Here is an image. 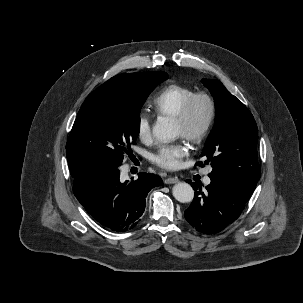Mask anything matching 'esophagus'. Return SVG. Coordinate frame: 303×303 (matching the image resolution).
<instances>
[{"label": "esophagus", "mask_w": 303, "mask_h": 303, "mask_svg": "<svg viewBox=\"0 0 303 303\" xmlns=\"http://www.w3.org/2000/svg\"><path fill=\"white\" fill-rule=\"evenodd\" d=\"M165 184H175L179 182L177 177H169L164 180Z\"/></svg>", "instance_id": "obj_1"}]
</instances>
